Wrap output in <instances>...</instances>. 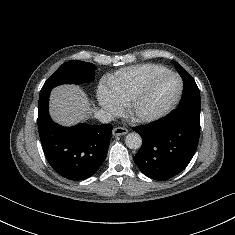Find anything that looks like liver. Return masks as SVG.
<instances>
[{
    "label": "liver",
    "mask_w": 235,
    "mask_h": 235,
    "mask_svg": "<svg viewBox=\"0 0 235 235\" xmlns=\"http://www.w3.org/2000/svg\"><path fill=\"white\" fill-rule=\"evenodd\" d=\"M50 99V115L63 126L83 121L91 112L88 98L79 86H58L52 90Z\"/></svg>",
    "instance_id": "obj_1"
}]
</instances>
